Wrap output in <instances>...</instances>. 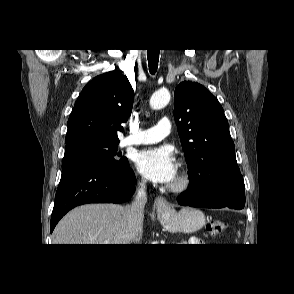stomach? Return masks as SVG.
Masks as SVG:
<instances>
[{
    "instance_id": "stomach-1",
    "label": "stomach",
    "mask_w": 294,
    "mask_h": 294,
    "mask_svg": "<svg viewBox=\"0 0 294 294\" xmlns=\"http://www.w3.org/2000/svg\"><path fill=\"white\" fill-rule=\"evenodd\" d=\"M158 218L164 228L170 232L192 233L203 227L205 216L202 211L184 207L180 211L168 208L158 213Z\"/></svg>"
}]
</instances>
